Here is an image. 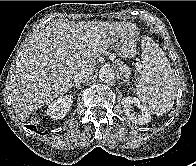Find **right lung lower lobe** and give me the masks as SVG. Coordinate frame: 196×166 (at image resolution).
Listing matches in <instances>:
<instances>
[{"label":"right lung lower lobe","instance_id":"98d812e1","mask_svg":"<svg viewBox=\"0 0 196 166\" xmlns=\"http://www.w3.org/2000/svg\"><path fill=\"white\" fill-rule=\"evenodd\" d=\"M27 128L37 132L36 127L35 126H31V125H26ZM38 133V132H37Z\"/></svg>","mask_w":196,"mask_h":166}]
</instances>
